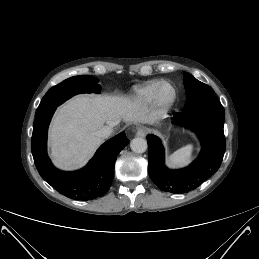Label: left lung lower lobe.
<instances>
[{
    "instance_id": "left-lung-lower-lobe-1",
    "label": "left lung lower lobe",
    "mask_w": 259,
    "mask_h": 259,
    "mask_svg": "<svg viewBox=\"0 0 259 259\" xmlns=\"http://www.w3.org/2000/svg\"><path fill=\"white\" fill-rule=\"evenodd\" d=\"M173 115L178 124L197 134L202 144L201 154L190 166L169 170L164 164L161 141L154 135H148V173L160 190L182 194L199 187L220 167L226 148L223 130L225 111L221 104H216Z\"/></svg>"
}]
</instances>
